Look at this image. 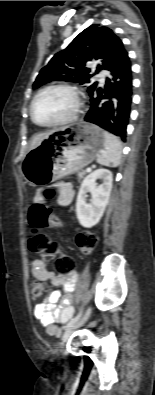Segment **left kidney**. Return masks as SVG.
Returning a JSON list of instances; mask_svg holds the SVG:
<instances>
[{"instance_id":"left-kidney-1","label":"left kidney","mask_w":155,"mask_h":395,"mask_svg":"<svg viewBox=\"0 0 155 395\" xmlns=\"http://www.w3.org/2000/svg\"><path fill=\"white\" fill-rule=\"evenodd\" d=\"M98 179L103 180L101 186H97ZM112 181V172L103 168L91 172L84 178L76 201L77 219L83 227L91 228L100 221L109 201ZM88 192L92 195L90 203L86 202Z\"/></svg>"}]
</instances>
